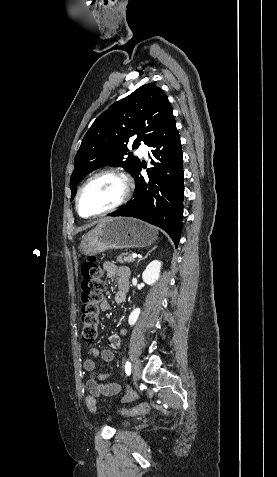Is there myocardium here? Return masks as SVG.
Returning <instances> with one entry per match:
<instances>
[{"label": "myocardium", "mask_w": 277, "mask_h": 477, "mask_svg": "<svg viewBox=\"0 0 277 477\" xmlns=\"http://www.w3.org/2000/svg\"><path fill=\"white\" fill-rule=\"evenodd\" d=\"M106 175L114 176L122 182L123 193H122L120 199L114 205L110 206L109 208H107L103 211H100V212L94 213V214H84L80 209V198H81V195L83 193V190L94 179H96L100 176H106ZM130 194H131V184H130V181L128 180L127 176L124 173H122L121 171L116 170V169H103V170H100V171L92 174L79 187L76 198H75L76 210L79 213V215L84 217V218H94V217L104 216V215H107L109 213H112V212L118 210L123 205H125L126 202L130 198Z\"/></svg>", "instance_id": "1"}]
</instances>
